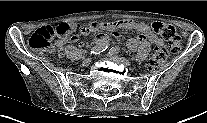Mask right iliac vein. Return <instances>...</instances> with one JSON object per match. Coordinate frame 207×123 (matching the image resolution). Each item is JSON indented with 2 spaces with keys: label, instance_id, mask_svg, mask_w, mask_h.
Wrapping results in <instances>:
<instances>
[{
  "label": "right iliac vein",
  "instance_id": "right-iliac-vein-1",
  "mask_svg": "<svg viewBox=\"0 0 207 123\" xmlns=\"http://www.w3.org/2000/svg\"><path fill=\"white\" fill-rule=\"evenodd\" d=\"M92 59L91 58H86L82 61L83 66H88L91 63Z\"/></svg>",
  "mask_w": 207,
  "mask_h": 123
}]
</instances>
